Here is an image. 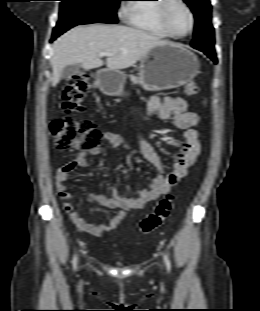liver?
Segmentation results:
<instances>
[{
	"label": "liver",
	"instance_id": "6515ba94",
	"mask_svg": "<svg viewBox=\"0 0 260 311\" xmlns=\"http://www.w3.org/2000/svg\"><path fill=\"white\" fill-rule=\"evenodd\" d=\"M167 43L143 30L128 26L93 24L75 27L54 44L50 60L52 86L59 83L62 70L68 65L80 64L85 69L101 67V52L113 53L106 60L107 68L120 70L134 65L152 48Z\"/></svg>",
	"mask_w": 260,
	"mask_h": 311
}]
</instances>
